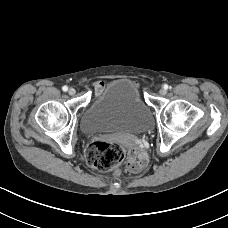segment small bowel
I'll return each instance as SVG.
<instances>
[{
  "label": "small bowel",
  "mask_w": 228,
  "mask_h": 228,
  "mask_svg": "<svg viewBox=\"0 0 228 228\" xmlns=\"http://www.w3.org/2000/svg\"><path fill=\"white\" fill-rule=\"evenodd\" d=\"M103 83H97V88L100 89ZM148 157L143 150L130 149L127 158V168L132 173H139L146 168Z\"/></svg>",
  "instance_id": "small-bowel-1"
}]
</instances>
